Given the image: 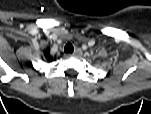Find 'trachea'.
<instances>
[{"label": "trachea", "instance_id": "1", "mask_svg": "<svg viewBox=\"0 0 151 114\" xmlns=\"http://www.w3.org/2000/svg\"><path fill=\"white\" fill-rule=\"evenodd\" d=\"M74 51V47L71 43H67L64 47L65 53H72Z\"/></svg>", "mask_w": 151, "mask_h": 114}]
</instances>
